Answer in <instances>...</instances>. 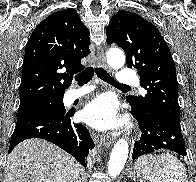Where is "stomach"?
<instances>
[{"label":"stomach","mask_w":196,"mask_h":182,"mask_svg":"<svg viewBox=\"0 0 196 182\" xmlns=\"http://www.w3.org/2000/svg\"><path fill=\"white\" fill-rule=\"evenodd\" d=\"M129 175H130V177H135V172L134 171H130Z\"/></svg>","instance_id":"obj_1"}]
</instances>
